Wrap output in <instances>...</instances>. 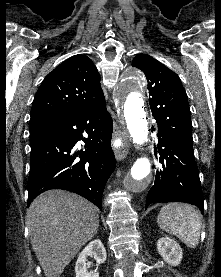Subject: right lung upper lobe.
<instances>
[{
  "instance_id": "obj_1",
  "label": "right lung upper lobe",
  "mask_w": 221,
  "mask_h": 277,
  "mask_svg": "<svg viewBox=\"0 0 221 277\" xmlns=\"http://www.w3.org/2000/svg\"><path fill=\"white\" fill-rule=\"evenodd\" d=\"M103 102L105 97L97 68L86 55H75L45 77L33 101L31 120L76 113Z\"/></svg>"
}]
</instances>
